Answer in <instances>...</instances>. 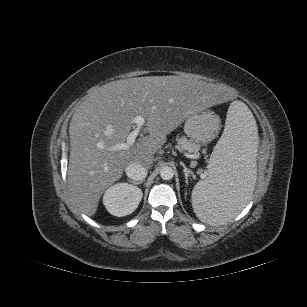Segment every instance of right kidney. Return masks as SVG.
<instances>
[{
    "label": "right kidney",
    "instance_id": "1",
    "mask_svg": "<svg viewBox=\"0 0 307 307\" xmlns=\"http://www.w3.org/2000/svg\"><path fill=\"white\" fill-rule=\"evenodd\" d=\"M142 196L140 188L122 182L112 185L105 191L103 203L110 214L123 217L137 209Z\"/></svg>",
    "mask_w": 307,
    "mask_h": 307
}]
</instances>
